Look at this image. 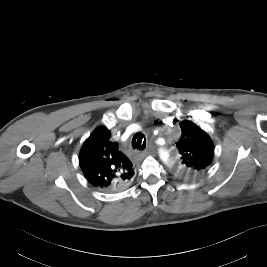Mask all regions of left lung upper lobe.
<instances>
[{
	"label": "left lung upper lobe",
	"instance_id": "obj_1",
	"mask_svg": "<svg viewBox=\"0 0 267 267\" xmlns=\"http://www.w3.org/2000/svg\"><path fill=\"white\" fill-rule=\"evenodd\" d=\"M182 135L176 146L181 154L179 174L182 177H197L211 166L214 147L211 138L191 121L180 123Z\"/></svg>",
	"mask_w": 267,
	"mask_h": 267
}]
</instances>
